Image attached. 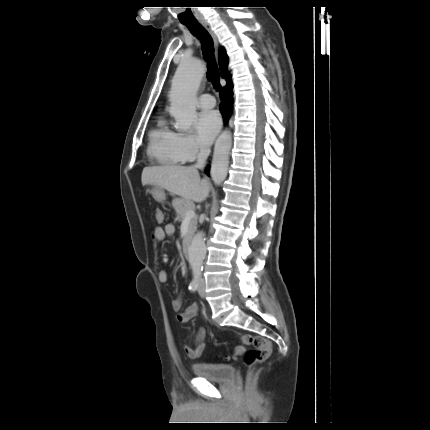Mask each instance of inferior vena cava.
Instances as JSON below:
<instances>
[{
    "label": "inferior vena cava",
    "instance_id": "602c4592",
    "mask_svg": "<svg viewBox=\"0 0 430 430\" xmlns=\"http://www.w3.org/2000/svg\"><path fill=\"white\" fill-rule=\"evenodd\" d=\"M209 153H210V149L209 148L202 147L200 149L199 154H198L197 162H196L195 165L192 166V168L194 170L203 169L205 167L206 160H207V158L209 156Z\"/></svg>",
    "mask_w": 430,
    "mask_h": 430
}]
</instances>
